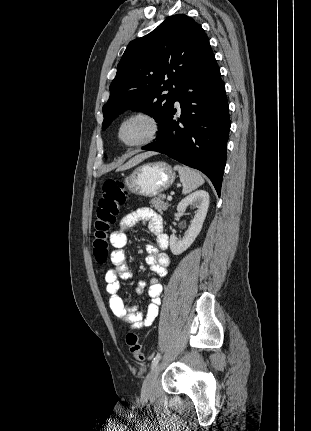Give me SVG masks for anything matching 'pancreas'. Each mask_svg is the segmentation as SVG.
I'll use <instances>...</instances> for the list:
<instances>
[{
	"label": "pancreas",
	"instance_id": "1",
	"mask_svg": "<svg viewBox=\"0 0 311 431\" xmlns=\"http://www.w3.org/2000/svg\"><path fill=\"white\" fill-rule=\"evenodd\" d=\"M163 200H165V196L160 194V196H157V198H152V200L149 202V204H152V208L157 210L158 214H163V212L169 208V204H167V202H163Z\"/></svg>",
	"mask_w": 311,
	"mask_h": 431
}]
</instances>
